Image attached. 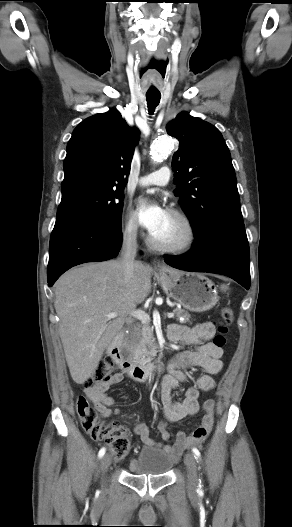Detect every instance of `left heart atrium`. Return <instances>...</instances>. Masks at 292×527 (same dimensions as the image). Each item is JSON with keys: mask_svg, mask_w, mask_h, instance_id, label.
<instances>
[{"mask_svg": "<svg viewBox=\"0 0 292 527\" xmlns=\"http://www.w3.org/2000/svg\"><path fill=\"white\" fill-rule=\"evenodd\" d=\"M137 216L141 226L153 234L163 224L167 212L157 203L140 202Z\"/></svg>", "mask_w": 292, "mask_h": 527, "instance_id": "left-heart-atrium-1", "label": "left heart atrium"}]
</instances>
